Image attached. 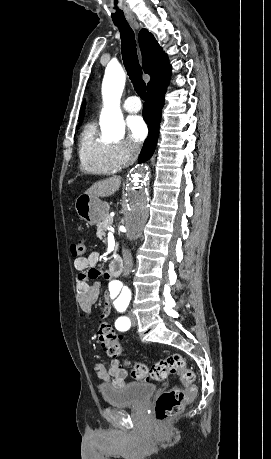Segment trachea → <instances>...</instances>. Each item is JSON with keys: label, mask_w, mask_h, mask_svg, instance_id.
I'll return each instance as SVG.
<instances>
[{"label": "trachea", "mask_w": 271, "mask_h": 459, "mask_svg": "<svg viewBox=\"0 0 271 459\" xmlns=\"http://www.w3.org/2000/svg\"><path fill=\"white\" fill-rule=\"evenodd\" d=\"M121 37V53L122 59L129 75V78L134 86L135 91L142 100H146V83L142 77V67L137 56V48L135 34L130 25H116Z\"/></svg>", "instance_id": "obj_1"}]
</instances>
